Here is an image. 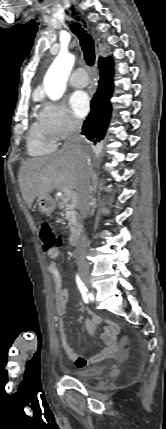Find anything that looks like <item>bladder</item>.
Segmentation results:
<instances>
[{"instance_id": "bladder-1", "label": "bladder", "mask_w": 166, "mask_h": 429, "mask_svg": "<svg viewBox=\"0 0 166 429\" xmlns=\"http://www.w3.org/2000/svg\"><path fill=\"white\" fill-rule=\"evenodd\" d=\"M106 371V366H96L87 369L77 370L71 373V376L78 380H86L102 376Z\"/></svg>"}]
</instances>
